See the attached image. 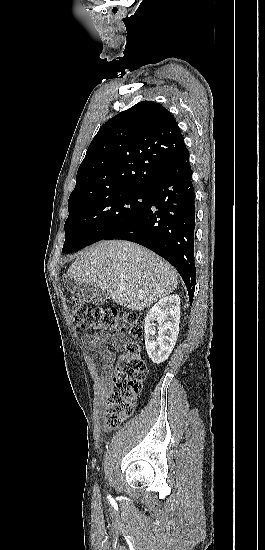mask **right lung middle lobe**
<instances>
[{"label":"right lung middle lobe","mask_w":265,"mask_h":550,"mask_svg":"<svg viewBox=\"0 0 265 550\" xmlns=\"http://www.w3.org/2000/svg\"><path fill=\"white\" fill-rule=\"evenodd\" d=\"M148 197V188L131 189L69 202L62 252L70 253L104 239L136 218L145 209Z\"/></svg>","instance_id":"right-lung-middle-lobe-1"}]
</instances>
